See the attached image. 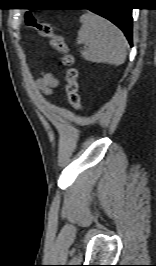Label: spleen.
Wrapping results in <instances>:
<instances>
[{
    "mask_svg": "<svg viewBox=\"0 0 156 266\" xmlns=\"http://www.w3.org/2000/svg\"><path fill=\"white\" fill-rule=\"evenodd\" d=\"M80 22L77 44L87 46L81 51L85 60L114 66L125 62L127 41L115 25L94 13L82 15Z\"/></svg>",
    "mask_w": 156,
    "mask_h": 266,
    "instance_id": "obj_1",
    "label": "spleen"
}]
</instances>
